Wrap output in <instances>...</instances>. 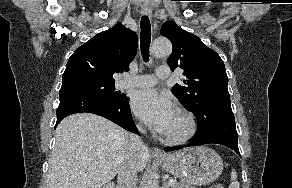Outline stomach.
<instances>
[{"mask_svg":"<svg viewBox=\"0 0 292 188\" xmlns=\"http://www.w3.org/2000/svg\"><path fill=\"white\" fill-rule=\"evenodd\" d=\"M155 161L182 182L197 186L215 181L223 170L220 155L205 146L186 148Z\"/></svg>","mask_w":292,"mask_h":188,"instance_id":"stomach-1","label":"stomach"}]
</instances>
